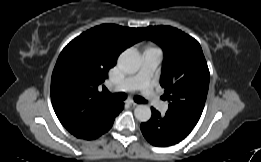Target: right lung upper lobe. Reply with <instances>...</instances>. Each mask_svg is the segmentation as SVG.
Wrapping results in <instances>:
<instances>
[{
    "instance_id": "1",
    "label": "right lung upper lobe",
    "mask_w": 261,
    "mask_h": 162,
    "mask_svg": "<svg viewBox=\"0 0 261 162\" xmlns=\"http://www.w3.org/2000/svg\"><path fill=\"white\" fill-rule=\"evenodd\" d=\"M144 39L140 28L103 24L72 40L51 78V101L62 125L75 137L92 139L111 123L122 104L98 91L118 56Z\"/></svg>"
}]
</instances>
